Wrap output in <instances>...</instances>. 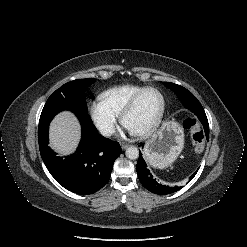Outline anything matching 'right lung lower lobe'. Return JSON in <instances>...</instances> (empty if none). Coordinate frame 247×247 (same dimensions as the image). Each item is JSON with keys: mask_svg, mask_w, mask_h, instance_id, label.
Segmentation results:
<instances>
[{"mask_svg": "<svg viewBox=\"0 0 247 247\" xmlns=\"http://www.w3.org/2000/svg\"><path fill=\"white\" fill-rule=\"evenodd\" d=\"M63 110L72 111L82 126V138L74 154L58 156L48 146L49 123ZM38 142L41 157L54 179L65 189L80 194H93L106 185L111 176L114 161L121 154L118 142L101 136L88 111L64 102H47L42 110Z\"/></svg>", "mask_w": 247, "mask_h": 247, "instance_id": "1", "label": "right lung lower lobe"}]
</instances>
